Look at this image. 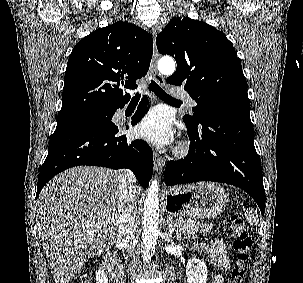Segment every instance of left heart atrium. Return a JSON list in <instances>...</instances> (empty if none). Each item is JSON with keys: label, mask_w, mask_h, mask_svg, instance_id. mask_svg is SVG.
I'll list each match as a JSON object with an SVG mask.
<instances>
[{"label": "left heart atrium", "mask_w": 303, "mask_h": 283, "mask_svg": "<svg viewBox=\"0 0 303 283\" xmlns=\"http://www.w3.org/2000/svg\"><path fill=\"white\" fill-rule=\"evenodd\" d=\"M135 133L138 137L157 145L168 144L173 138L170 119L160 109L147 113L136 126Z\"/></svg>", "instance_id": "left-heart-atrium-1"}]
</instances>
